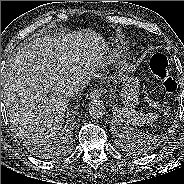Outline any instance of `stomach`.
I'll use <instances>...</instances> for the list:
<instances>
[{
	"instance_id": "obj_1",
	"label": "stomach",
	"mask_w": 184,
	"mask_h": 184,
	"mask_svg": "<svg viewBox=\"0 0 184 184\" xmlns=\"http://www.w3.org/2000/svg\"><path fill=\"white\" fill-rule=\"evenodd\" d=\"M133 87L136 88L137 87V83H133Z\"/></svg>"
}]
</instances>
